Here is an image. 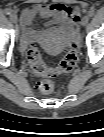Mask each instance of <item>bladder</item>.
Returning a JSON list of instances; mask_svg holds the SVG:
<instances>
[{
  "instance_id": "1",
  "label": "bladder",
  "mask_w": 104,
  "mask_h": 137,
  "mask_svg": "<svg viewBox=\"0 0 104 137\" xmlns=\"http://www.w3.org/2000/svg\"><path fill=\"white\" fill-rule=\"evenodd\" d=\"M70 42L58 35L48 37L41 41L43 50L49 55H59L68 46Z\"/></svg>"
}]
</instances>
